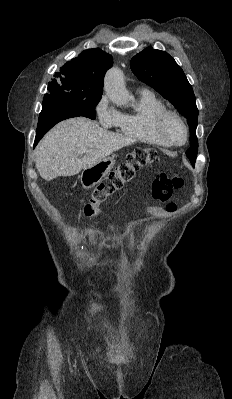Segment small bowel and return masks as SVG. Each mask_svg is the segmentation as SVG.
<instances>
[{
	"label": "small bowel",
	"mask_w": 232,
	"mask_h": 399,
	"mask_svg": "<svg viewBox=\"0 0 232 399\" xmlns=\"http://www.w3.org/2000/svg\"><path fill=\"white\" fill-rule=\"evenodd\" d=\"M149 210H150V212L153 213V214H158V213H159V210H158V208H156V207H150Z\"/></svg>",
	"instance_id": "c3829d8e"
}]
</instances>
